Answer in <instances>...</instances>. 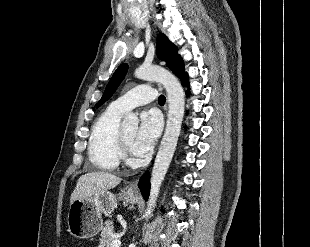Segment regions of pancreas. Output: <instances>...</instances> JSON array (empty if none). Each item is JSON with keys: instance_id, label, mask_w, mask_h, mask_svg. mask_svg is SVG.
<instances>
[{"instance_id": "obj_1", "label": "pancreas", "mask_w": 310, "mask_h": 247, "mask_svg": "<svg viewBox=\"0 0 310 247\" xmlns=\"http://www.w3.org/2000/svg\"><path fill=\"white\" fill-rule=\"evenodd\" d=\"M113 228H114L113 222L110 220H107L105 222V227L103 228L101 232V239H100V244L98 247H112V241L118 235L113 231Z\"/></svg>"}]
</instances>
